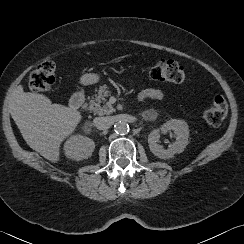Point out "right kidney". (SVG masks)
<instances>
[{
    "instance_id": "1",
    "label": "right kidney",
    "mask_w": 244,
    "mask_h": 244,
    "mask_svg": "<svg viewBox=\"0 0 244 244\" xmlns=\"http://www.w3.org/2000/svg\"><path fill=\"white\" fill-rule=\"evenodd\" d=\"M63 148L67 158L80 161L92 155L95 143L89 137L76 134L65 142Z\"/></svg>"
}]
</instances>
